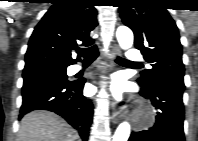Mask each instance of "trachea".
I'll return each instance as SVG.
<instances>
[{"label": "trachea", "mask_w": 198, "mask_h": 141, "mask_svg": "<svg viewBox=\"0 0 198 141\" xmlns=\"http://www.w3.org/2000/svg\"><path fill=\"white\" fill-rule=\"evenodd\" d=\"M79 55H81L84 58V62L85 63H91L93 62L99 55V51L97 46H92L90 48L87 49H81L77 51ZM116 62L118 63H131L129 60L125 59V58H121V57H116Z\"/></svg>", "instance_id": "3493384b"}]
</instances>
